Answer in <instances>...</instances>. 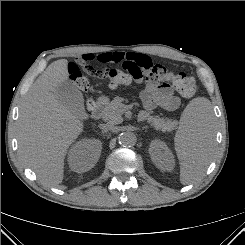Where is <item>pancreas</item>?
Instances as JSON below:
<instances>
[{"label": "pancreas", "mask_w": 245, "mask_h": 245, "mask_svg": "<svg viewBox=\"0 0 245 245\" xmlns=\"http://www.w3.org/2000/svg\"><path fill=\"white\" fill-rule=\"evenodd\" d=\"M123 98L115 97L109 104L106 112L103 115V120L108 124H119L122 122V113L124 112V105L122 103ZM148 122L156 130L172 131L176 129L178 125L177 120H172L168 118H160L158 116H151L148 118Z\"/></svg>", "instance_id": "obj_1"}]
</instances>
